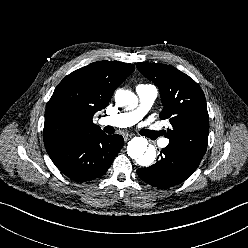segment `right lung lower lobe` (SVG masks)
<instances>
[{
	"label": "right lung lower lobe",
	"mask_w": 248,
	"mask_h": 248,
	"mask_svg": "<svg viewBox=\"0 0 248 248\" xmlns=\"http://www.w3.org/2000/svg\"><path fill=\"white\" fill-rule=\"evenodd\" d=\"M123 144L122 136L98 131L61 143L47 152L64 175L76 182H86L105 174Z\"/></svg>",
	"instance_id": "right-lung-lower-lobe-1"
}]
</instances>
